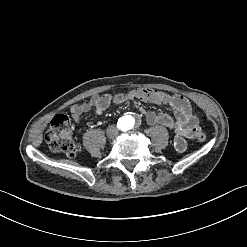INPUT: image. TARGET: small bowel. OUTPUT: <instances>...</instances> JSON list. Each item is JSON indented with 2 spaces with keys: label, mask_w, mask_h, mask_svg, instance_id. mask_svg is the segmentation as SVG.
I'll return each mask as SVG.
<instances>
[{
  "label": "small bowel",
  "mask_w": 247,
  "mask_h": 247,
  "mask_svg": "<svg viewBox=\"0 0 247 247\" xmlns=\"http://www.w3.org/2000/svg\"><path fill=\"white\" fill-rule=\"evenodd\" d=\"M125 95L117 92L112 94L93 96L90 100L74 104L70 107V115L75 123H78L81 116L94 110L96 113H103L111 104H122ZM171 108L175 118L166 113H156L154 111H143L144 118L149 125L161 124L174 131L173 145L178 153H184L187 149V138L197 137L201 131L199 124L192 125L190 120L195 117L192 113L189 101L180 95L161 92L159 100L154 103Z\"/></svg>",
  "instance_id": "small-bowel-1"
}]
</instances>
